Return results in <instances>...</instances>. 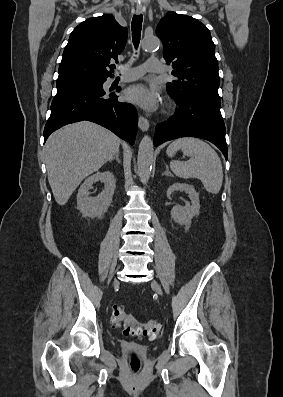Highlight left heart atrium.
I'll return each mask as SVG.
<instances>
[{"mask_svg": "<svg viewBox=\"0 0 283 397\" xmlns=\"http://www.w3.org/2000/svg\"><path fill=\"white\" fill-rule=\"evenodd\" d=\"M123 98L125 101L148 111L155 110L159 103L156 92L144 84H135L128 87L123 93Z\"/></svg>", "mask_w": 283, "mask_h": 397, "instance_id": "1", "label": "left heart atrium"}]
</instances>
